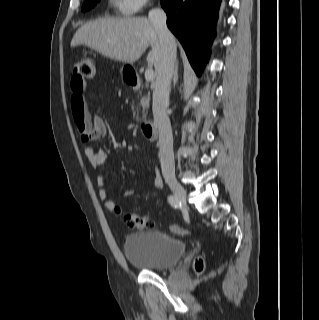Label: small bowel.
Masks as SVG:
<instances>
[{"instance_id": "1", "label": "small bowel", "mask_w": 319, "mask_h": 320, "mask_svg": "<svg viewBox=\"0 0 319 320\" xmlns=\"http://www.w3.org/2000/svg\"><path fill=\"white\" fill-rule=\"evenodd\" d=\"M72 110L73 114L82 113L86 117L92 128L93 139H99L105 135L107 127L105 121L97 115H91L87 109V103L84 98V92L87 88L85 83H80L76 78H72ZM84 155L88 160L90 166L94 169L104 164L107 158V154L104 151L95 150L92 146H87L84 149ZM97 183L100 186L98 190V197L103 202L107 209L113 208V202L109 199V192L105 187V180L102 176L97 177ZM153 184L156 188L163 186L162 179L159 176H155ZM135 190L130 189L124 192V197L130 198L134 196Z\"/></svg>"}]
</instances>
